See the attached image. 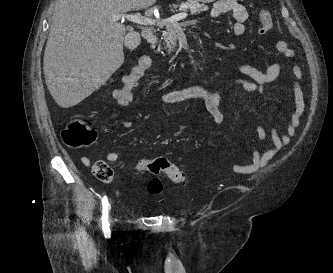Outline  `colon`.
Here are the masks:
<instances>
[{
    "label": "colon",
    "mask_w": 333,
    "mask_h": 273,
    "mask_svg": "<svg viewBox=\"0 0 333 273\" xmlns=\"http://www.w3.org/2000/svg\"><path fill=\"white\" fill-rule=\"evenodd\" d=\"M260 32L266 34L273 28V18L268 10H262L259 15ZM64 143L72 148H82L91 145L96 139V132L82 119L71 118L61 132ZM134 170L137 173L151 172L165 174L175 183L184 184L187 180L185 172L164 157L154 159L141 158L136 161ZM92 172L102 182H110L113 178L112 168L103 160L96 161L92 166ZM162 181L153 178L148 184V191L152 194L161 192Z\"/></svg>",
    "instance_id": "1"
}]
</instances>
